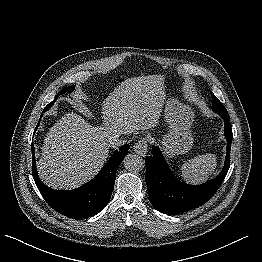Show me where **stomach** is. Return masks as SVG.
<instances>
[{
    "label": "stomach",
    "mask_w": 262,
    "mask_h": 262,
    "mask_svg": "<svg viewBox=\"0 0 262 262\" xmlns=\"http://www.w3.org/2000/svg\"><path fill=\"white\" fill-rule=\"evenodd\" d=\"M164 116L169 132L163 137L164 153L168 158L187 153L193 145L190 128L194 122V111L172 97L165 101Z\"/></svg>",
    "instance_id": "stomach-1"
}]
</instances>
